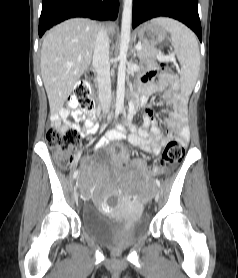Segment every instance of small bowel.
Listing matches in <instances>:
<instances>
[{"instance_id":"obj_1","label":"small bowel","mask_w":238,"mask_h":278,"mask_svg":"<svg viewBox=\"0 0 238 278\" xmlns=\"http://www.w3.org/2000/svg\"><path fill=\"white\" fill-rule=\"evenodd\" d=\"M156 74L157 65L154 62H150L147 70L139 80L136 94L139 103L138 108L145 107L152 95L163 92L162 97L165 104L173 107L165 120L167 125L173 129V132L168 134L162 133L154 112L149 108L145 110L142 117V124L138 128L130 123L133 113L128 112L126 122L130 129V134L127 135L124 128L118 125L116 129L108 132L99 140L95 146L96 150L104 149L111 141L124 139H128L131 144L148 150L154 155H159L163 147L172 139L177 140L182 146L188 145L190 138L186 118L188 94L180 88L175 77L167 80H163L160 77L159 81L155 82ZM69 117L73 118V121H70ZM51 122L53 127L57 129L74 128L83 138L91 137L99 131V124L96 121L94 112L85 116L80 112L69 111L63 108L52 116ZM119 161L122 164H128V154ZM133 164L137 169L144 170L142 161L137 160Z\"/></svg>"}]
</instances>
